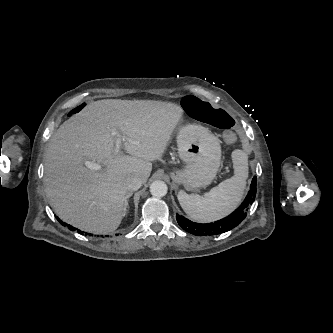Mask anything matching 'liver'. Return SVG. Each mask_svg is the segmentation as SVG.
<instances>
[{
    "label": "liver",
    "mask_w": 333,
    "mask_h": 333,
    "mask_svg": "<svg viewBox=\"0 0 333 333\" xmlns=\"http://www.w3.org/2000/svg\"><path fill=\"white\" fill-rule=\"evenodd\" d=\"M182 116L173 103L104 99L69 118L51 138L44 164L46 194L57 215L87 232L115 231L124 217L125 180L147 181ZM114 132L121 142L117 153ZM85 159L102 168H87Z\"/></svg>",
    "instance_id": "liver-1"
}]
</instances>
